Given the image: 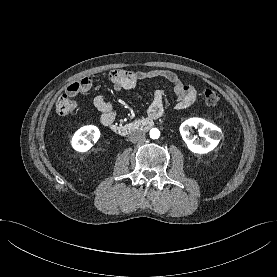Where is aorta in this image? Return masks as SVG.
Wrapping results in <instances>:
<instances>
[{
	"instance_id": "1",
	"label": "aorta",
	"mask_w": 277,
	"mask_h": 277,
	"mask_svg": "<svg viewBox=\"0 0 277 277\" xmlns=\"http://www.w3.org/2000/svg\"><path fill=\"white\" fill-rule=\"evenodd\" d=\"M160 136V131L157 128H152L150 130V138L151 139H158Z\"/></svg>"
}]
</instances>
